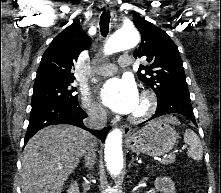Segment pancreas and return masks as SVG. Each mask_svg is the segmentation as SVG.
<instances>
[{
  "mask_svg": "<svg viewBox=\"0 0 221 193\" xmlns=\"http://www.w3.org/2000/svg\"><path fill=\"white\" fill-rule=\"evenodd\" d=\"M175 161V157H170L168 158L166 161H163L162 164L167 165V164H171Z\"/></svg>",
  "mask_w": 221,
  "mask_h": 193,
  "instance_id": "obj_1",
  "label": "pancreas"
}]
</instances>
